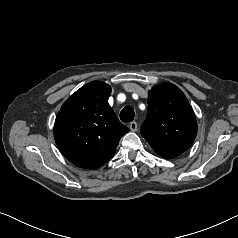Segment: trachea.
Wrapping results in <instances>:
<instances>
[{
	"label": "trachea",
	"instance_id": "1",
	"mask_svg": "<svg viewBox=\"0 0 238 238\" xmlns=\"http://www.w3.org/2000/svg\"><path fill=\"white\" fill-rule=\"evenodd\" d=\"M135 113L131 106H126L120 112V119L122 122H131L134 119Z\"/></svg>",
	"mask_w": 238,
	"mask_h": 238
}]
</instances>
